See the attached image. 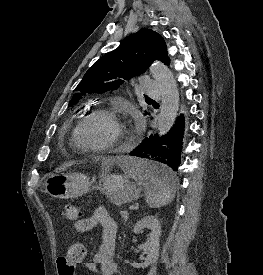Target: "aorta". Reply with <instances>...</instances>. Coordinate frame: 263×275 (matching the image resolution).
Returning <instances> with one entry per match:
<instances>
[{"label":"aorta","mask_w":263,"mask_h":275,"mask_svg":"<svg viewBox=\"0 0 263 275\" xmlns=\"http://www.w3.org/2000/svg\"><path fill=\"white\" fill-rule=\"evenodd\" d=\"M150 71L159 85L162 104L158 115L159 135H165L172 128L179 110V92L173 73L159 61L152 64Z\"/></svg>","instance_id":"obj_1"}]
</instances>
